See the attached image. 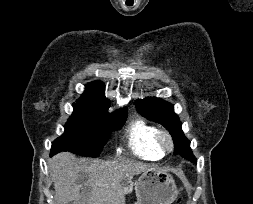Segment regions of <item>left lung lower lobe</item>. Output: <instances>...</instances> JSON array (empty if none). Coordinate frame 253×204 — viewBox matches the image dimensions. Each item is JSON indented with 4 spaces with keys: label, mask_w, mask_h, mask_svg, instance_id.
<instances>
[{
    "label": "left lung lower lobe",
    "mask_w": 253,
    "mask_h": 204,
    "mask_svg": "<svg viewBox=\"0 0 253 204\" xmlns=\"http://www.w3.org/2000/svg\"><path fill=\"white\" fill-rule=\"evenodd\" d=\"M188 160H191L193 162H196V159L194 158L193 154H191L190 156H188L187 158Z\"/></svg>",
    "instance_id": "obj_1"
}]
</instances>
